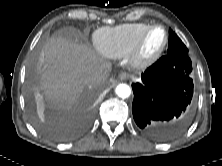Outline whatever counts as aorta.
<instances>
[{
  "mask_svg": "<svg viewBox=\"0 0 222 166\" xmlns=\"http://www.w3.org/2000/svg\"><path fill=\"white\" fill-rule=\"evenodd\" d=\"M115 92L117 94L118 97L120 98H128L131 95V89L127 84H119L116 89Z\"/></svg>",
  "mask_w": 222,
  "mask_h": 166,
  "instance_id": "obj_1",
  "label": "aorta"
}]
</instances>
